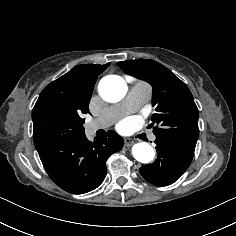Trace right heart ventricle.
I'll return each mask as SVG.
<instances>
[{"label":"right heart ventricle","instance_id":"e07e8e85","mask_svg":"<svg viewBox=\"0 0 236 236\" xmlns=\"http://www.w3.org/2000/svg\"><path fill=\"white\" fill-rule=\"evenodd\" d=\"M139 84L146 85V84H144V83H139Z\"/></svg>","mask_w":236,"mask_h":236}]
</instances>
